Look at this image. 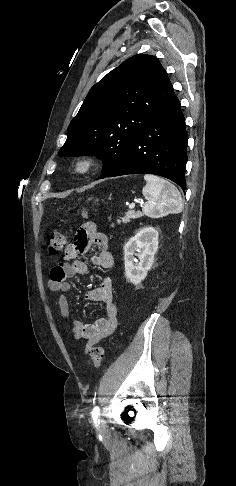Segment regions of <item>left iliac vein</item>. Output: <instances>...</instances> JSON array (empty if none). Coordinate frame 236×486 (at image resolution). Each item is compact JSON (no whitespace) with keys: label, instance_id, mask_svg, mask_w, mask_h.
I'll use <instances>...</instances> for the list:
<instances>
[{"label":"left iliac vein","instance_id":"obj_1","mask_svg":"<svg viewBox=\"0 0 236 486\" xmlns=\"http://www.w3.org/2000/svg\"><path fill=\"white\" fill-rule=\"evenodd\" d=\"M100 430L102 433L106 432V424L102 419L100 420Z\"/></svg>","mask_w":236,"mask_h":486}]
</instances>
